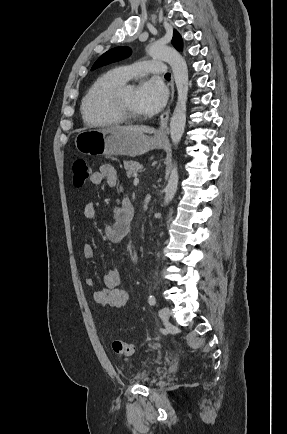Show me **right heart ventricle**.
I'll list each match as a JSON object with an SVG mask.
<instances>
[{
    "instance_id": "1",
    "label": "right heart ventricle",
    "mask_w": 287,
    "mask_h": 434,
    "mask_svg": "<svg viewBox=\"0 0 287 434\" xmlns=\"http://www.w3.org/2000/svg\"><path fill=\"white\" fill-rule=\"evenodd\" d=\"M125 82L119 69H112L100 75L90 85L80 105L81 115L86 124L107 126L123 121L112 111L109 98L113 90Z\"/></svg>"
}]
</instances>
